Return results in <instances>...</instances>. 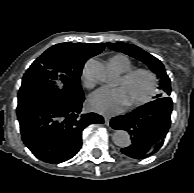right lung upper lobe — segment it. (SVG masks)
Here are the masks:
<instances>
[{
	"mask_svg": "<svg viewBox=\"0 0 194 193\" xmlns=\"http://www.w3.org/2000/svg\"><path fill=\"white\" fill-rule=\"evenodd\" d=\"M104 43H60L50 47L28 69L45 74L65 73L83 68L86 60L101 53Z\"/></svg>",
	"mask_w": 194,
	"mask_h": 193,
	"instance_id": "obj_1",
	"label": "right lung upper lobe"
}]
</instances>
